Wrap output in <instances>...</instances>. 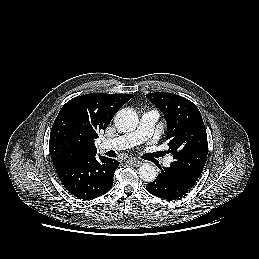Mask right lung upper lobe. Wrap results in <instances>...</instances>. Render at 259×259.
Masks as SVG:
<instances>
[{"mask_svg": "<svg viewBox=\"0 0 259 259\" xmlns=\"http://www.w3.org/2000/svg\"><path fill=\"white\" fill-rule=\"evenodd\" d=\"M132 97V94L90 93L69 100L50 133L49 150L54 167L78 157L96 155L95 138Z\"/></svg>", "mask_w": 259, "mask_h": 259, "instance_id": "1", "label": "right lung upper lobe"}]
</instances>
